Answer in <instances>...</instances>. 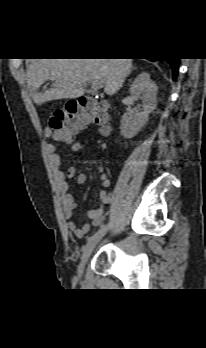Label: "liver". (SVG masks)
Returning <instances> with one entry per match:
<instances>
[{
    "instance_id": "obj_1",
    "label": "liver",
    "mask_w": 206,
    "mask_h": 348,
    "mask_svg": "<svg viewBox=\"0 0 206 348\" xmlns=\"http://www.w3.org/2000/svg\"><path fill=\"white\" fill-rule=\"evenodd\" d=\"M132 68V59H34L27 68V87L33 101L41 105L57 99L79 98L92 80L104 84V92L114 95ZM52 81L49 89L39 88Z\"/></svg>"
}]
</instances>
